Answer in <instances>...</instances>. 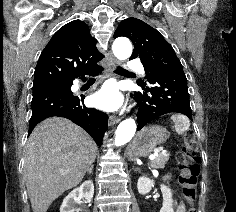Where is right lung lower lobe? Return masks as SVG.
<instances>
[{"label":"right lung lower lobe","mask_w":236,"mask_h":212,"mask_svg":"<svg viewBox=\"0 0 236 212\" xmlns=\"http://www.w3.org/2000/svg\"><path fill=\"white\" fill-rule=\"evenodd\" d=\"M103 68L95 65L85 75H99ZM72 81L59 84L55 82H41L33 85L31 102L32 116L29 123V133L42 120L48 117H65L86 130L101 146L104 133L108 128V115L94 108L84 105L85 96H74L70 90Z\"/></svg>","instance_id":"right-lung-lower-lobe-1"}]
</instances>
